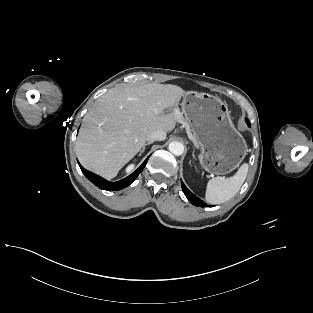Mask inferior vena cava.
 I'll return each mask as SVG.
<instances>
[{"instance_id": "obj_1", "label": "inferior vena cava", "mask_w": 313, "mask_h": 313, "mask_svg": "<svg viewBox=\"0 0 313 313\" xmlns=\"http://www.w3.org/2000/svg\"><path fill=\"white\" fill-rule=\"evenodd\" d=\"M166 138V132L163 130H156L152 132L148 137L147 141H162Z\"/></svg>"}]
</instances>
